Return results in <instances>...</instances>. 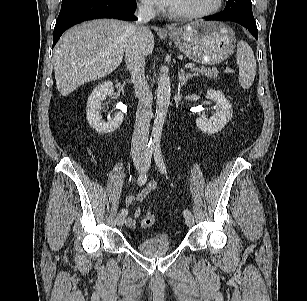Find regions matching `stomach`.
Segmentation results:
<instances>
[{
	"mask_svg": "<svg viewBox=\"0 0 307 301\" xmlns=\"http://www.w3.org/2000/svg\"><path fill=\"white\" fill-rule=\"evenodd\" d=\"M180 51L192 61L218 64L235 47L234 31L221 22L190 23L168 32Z\"/></svg>",
	"mask_w": 307,
	"mask_h": 301,
	"instance_id": "obj_1",
	"label": "stomach"
}]
</instances>
